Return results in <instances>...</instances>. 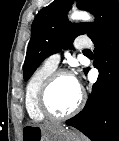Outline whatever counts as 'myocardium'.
<instances>
[{
  "label": "myocardium",
  "mask_w": 119,
  "mask_h": 141,
  "mask_svg": "<svg viewBox=\"0 0 119 141\" xmlns=\"http://www.w3.org/2000/svg\"><path fill=\"white\" fill-rule=\"evenodd\" d=\"M64 75L73 77V74L70 71H68L66 69H57V70L53 71L45 79V81L42 83V85L38 91V95H37L38 109L46 118L53 119V120L67 119V118L75 115L76 113H78L81 110V108L83 107L85 96H84L83 91L80 89L79 100H78L77 104L74 106V108H72L70 111H68L66 113L58 114V113L53 112L49 108L48 102H47V97H48L49 91H50L51 87L53 86V84L55 83V81L60 76H64Z\"/></svg>",
  "instance_id": "obj_1"
}]
</instances>
